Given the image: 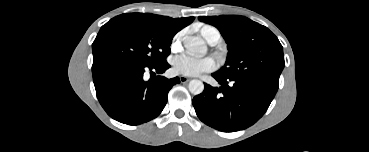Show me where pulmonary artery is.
<instances>
[{"instance_id":"1","label":"pulmonary artery","mask_w":369,"mask_h":152,"mask_svg":"<svg viewBox=\"0 0 369 152\" xmlns=\"http://www.w3.org/2000/svg\"><path fill=\"white\" fill-rule=\"evenodd\" d=\"M204 38L210 45H216L221 38L220 32L214 27H208L204 31Z\"/></svg>"}]
</instances>
